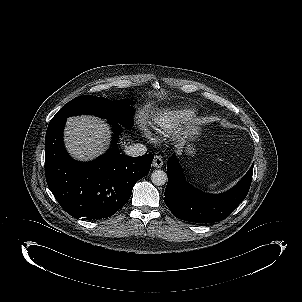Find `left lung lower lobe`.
Returning a JSON list of instances; mask_svg holds the SVG:
<instances>
[{"instance_id": "0a47b994", "label": "left lung lower lobe", "mask_w": 302, "mask_h": 302, "mask_svg": "<svg viewBox=\"0 0 302 302\" xmlns=\"http://www.w3.org/2000/svg\"><path fill=\"white\" fill-rule=\"evenodd\" d=\"M253 166L229 191L206 194L189 184L175 156L168 159V183L164 202L172 214L196 223L219 222L229 216L246 197L252 180Z\"/></svg>"}]
</instances>
